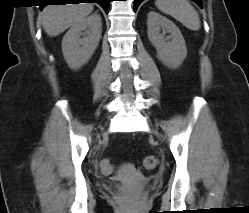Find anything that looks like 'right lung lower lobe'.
Listing matches in <instances>:
<instances>
[{
    "instance_id": "1",
    "label": "right lung lower lobe",
    "mask_w": 249,
    "mask_h": 213,
    "mask_svg": "<svg viewBox=\"0 0 249 213\" xmlns=\"http://www.w3.org/2000/svg\"><path fill=\"white\" fill-rule=\"evenodd\" d=\"M82 1H87L88 3L97 2L103 7L105 12L108 13L109 5H110L111 0H47V2H52V3L58 4V5L59 4H66V3H77V4H79ZM44 6H46V5H44ZM44 6L41 5V8L44 7Z\"/></svg>"
}]
</instances>
